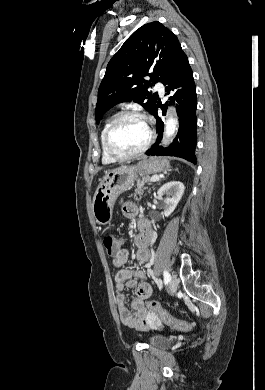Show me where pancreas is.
<instances>
[{
    "instance_id": "cf45deb5",
    "label": "pancreas",
    "mask_w": 265,
    "mask_h": 390,
    "mask_svg": "<svg viewBox=\"0 0 265 390\" xmlns=\"http://www.w3.org/2000/svg\"><path fill=\"white\" fill-rule=\"evenodd\" d=\"M149 183L151 184V178L150 177H144L141 182L137 184V188L135 189L134 196L137 197L138 194H141L144 189V184Z\"/></svg>"
}]
</instances>
